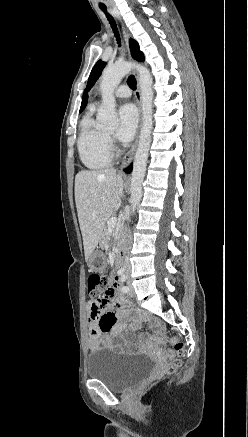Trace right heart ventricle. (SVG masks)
Instances as JSON below:
<instances>
[{
  "instance_id": "e07e8e85",
  "label": "right heart ventricle",
  "mask_w": 248,
  "mask_h": 437,
  "mask_svg": "<svg viewBox=\"0 0 248 437\" xmlns=\"http://www.w3.org/2000/svg\"><path fill=\"white\" fill-rule=\"evenodd\" d=\"M77 147L84 166L91 170L108 167L112 161L107 133L93 118L87 114L80 122Z\"/></svg>"
}]
</instances>
